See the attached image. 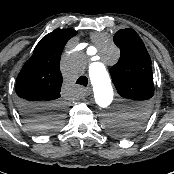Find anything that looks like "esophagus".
<instances>
[{"label":"esophagus","instance_id":"34e87169","mask_svg":"<svg viewBox=\"0 0 174 174\" xmlns=\"http://www.w3.org/2000/svg\"><path fill=\"white\" fill-rule=\"evenodd\" d=\"M90 94H91V89H90V88L84 89V95H85V96H88V95H90Z\"/></svg>","mask_w":174,"mask_h":174}]
</instances>
